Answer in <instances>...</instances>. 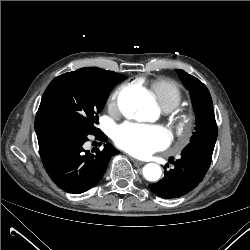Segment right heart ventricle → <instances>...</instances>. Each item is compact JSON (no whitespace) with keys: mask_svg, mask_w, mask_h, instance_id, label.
Returning a JSON list of instances; mask_svg holds the SVG:
<instances>
[{"mask_svg":"<svg viewBox=\"0 0 250 250\" xmlns=\"http://www.w3.org/2000/svg\"><path fill=\"white\" fill-rule=\"evenodd\" d=\"M150 91L158 105L166 112L176 108L183 99L181 87L171 79L161 78L152 81Z\"/></svg>","mask_w":250,"mask_h":250,"instance_id":"obj_1","label":"right heart ventricle"}]
</instances>
